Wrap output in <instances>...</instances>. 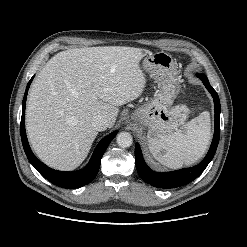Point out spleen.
I'll list each match as a JSON object with an SVG mask.
<instances>
[{
    "label": "spleen",
    "mask_w": 247,
    "mask_h": 247,
    "mask_svg": "<svg viewBox=\"0 0 247 247\" xmlns=\"http://www.w3.org/2000/svg\"><path fill=\"white\" fill-rule=\"evenodd\" d=\"M210 138V115L205 111L172 134L149 136L148 142L158 162L177 169L199 160L206 152Z\"/></svg>",
    "instance_id": "1"
}]
</instances>
